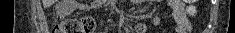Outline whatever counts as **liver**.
Wrapping results in <instances>:
<instances>
[{
  "label": "liver",
  "mask_w": 235,
  "mask_h": 33,
  "mask_svg": "<svg viewBox=\"0 0 235 33\" xmlns=\"http://www.w3.org/2000/svg\"><path fill=\"white\" fill-rule=\"evenodd\" d=\"M54 3H55V0H42V4L44 8H48Z\"/></svg>",
  "instance_id": "1"
}]
</instances>
